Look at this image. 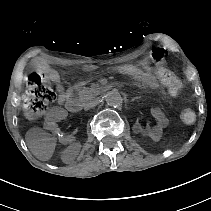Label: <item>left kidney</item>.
<instances>
[{
	"mask_svg": "<svg viewBox=\"0 0 211 211\" xmlns=\"http://www.w3.org/2000/svg\"><path fill=\"white\" fill-rule=\"evenodd\" d=\"M152 117L155 125L146 126L147 117L144 114H139L136 117L134 130L137 133H142L146 137L161 136L164 133L165 128H169L172 125V120L169 117H164L163 111L160 108H155L152 111Z\"/></svg>",
	"mask_w": 211,
	"mask_h": 211,
	"instance_id": "left-kidney-1",
	"label": "left kidney"
}]
</instances>
